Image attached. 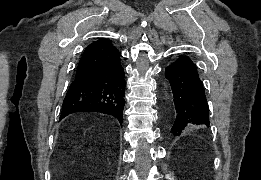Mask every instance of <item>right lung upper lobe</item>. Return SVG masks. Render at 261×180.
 <instances>
[{"label":"right lung upper lobe","instance_id":"1","mask_svg":"<svg viewBox=\"0 0 261 180\" xmlns=\"http://www.w3.org/2000/svg\"><path fill=\"white\" fill-rule=\"evenodd\" d=\"M120 56V52L109 41L103 39L95 41L84 50L75 77L94 67L118 63Z\"/></svg>","mask_w":261,"mask_h":180}]
</instances>
